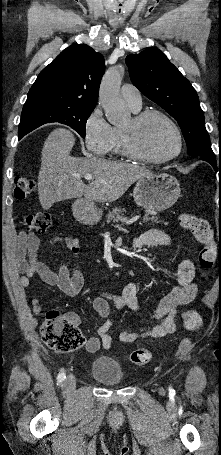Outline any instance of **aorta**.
<instances>
[{
  "label": "aorta",
  "mask_w": 221,
  "mask_h": 455,
  "mask_svg": "<svg viewBox=\"0 0 221 455\" xmlns=\"http://www.w3.org/2000/svg\"><path fill=\"white\" fill-rule=\"evenodd\" d=\"M123 72L118 68L109 69L102 78L99 100L107 120L112 125H121L129 120L130 112L121 98L119 89Z\"/></svg>",
  "instance_id": "obj_1"
}]
</instances>
